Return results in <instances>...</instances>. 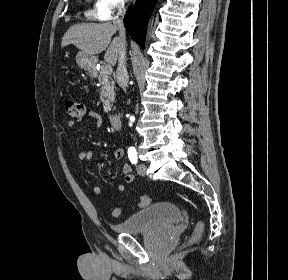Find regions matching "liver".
I'll use <instances>...</instances> for the list:
<instances>
[{
	"label": "liver",
	"instance_id": "1",
	"mask_svg": "<svg viewBox=\"0 0 288 280\" xmlns=\"http://www.w3.org/2000/svg\"><path fill=\"white\" fill-rule=\"evenodd\" d=\"M117 27L112 23H81L71 26L64 34L61 46L75 45L89 55H97L106 51L104 59L110 65H115L118 59L122 42L119 37L111 41Z\"/></svg>",
	"mask_w": 288,
	"mask_h": 280
}]
</instances>
